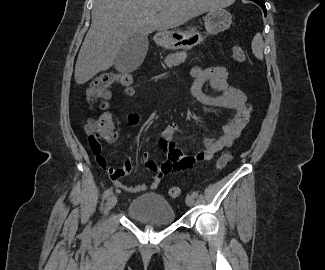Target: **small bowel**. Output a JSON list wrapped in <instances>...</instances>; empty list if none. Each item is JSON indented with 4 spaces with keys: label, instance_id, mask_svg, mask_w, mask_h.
Wrapping results in <instances>:
<instances>
[{
    "label": "small bowel",
    "instance_id": "1",
    "mask_svg": "<svg viewBox=\"0 0 325 270\" xmlns=\"http://www.w3.org/2000/svg\"><path fill=\"white\" fill-rule=\"evenodd\" d=\"M191 75L193 83L190 93L194 101L203 106L222 107L233 111L232 119L222 127V135L217 139L205 137L203 139V149L197 151L194 155H184L182 145L176 138L181 132L180 126L176 123L167 125L160 138V145L166 155V160L161 164H157L148 152H144L142 155L145 168L154 174L149 184L127 186L119 181L121 177L129 174L133 169L128 158H125L122 167L113 168L107 165L106 158L103 155L95 156L97 164L107 171L118 188L130 193L154 190L169 172L187 169L196 161L210 160L219 151L230 147L244 129L249 119L251 106L246 104L245 95L241 90L227 83L226 69L219 65L197 66L193 68ZM207 83L217 93L216 95H209L203 91V87ZM127 119L129 123L137 124L140 115L138 113H129Z\"/></svg>",
    "mask_w": 325,
    "mask_h": 270
}]
</instances>
